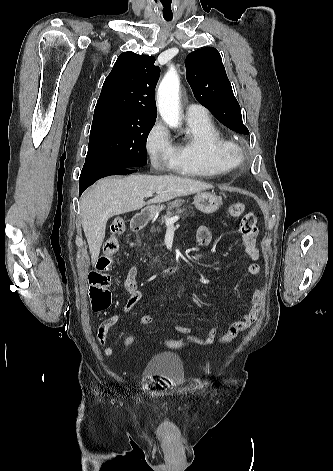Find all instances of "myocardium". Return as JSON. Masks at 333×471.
I'll list each match as a JSON object with an SVG mask.
<instances>
[{
    "label": "myocardium",
    "mask_w": 333,
    "mask_h": 471,
    "mask_svg": "<svg viewBox=\"0 0 333 471\" xmlns=\"http://www.w3.org/2000/svg\"><path fill=\"white\" fill-rule=\"evenodd\" d=\"M229 159L234 163H241L244 157L243 149L235 143H230L227 149Z\"/></svg>",
    "instance_id": "1"
}]
</instances>
